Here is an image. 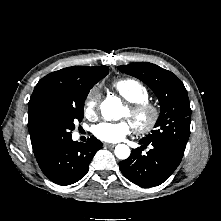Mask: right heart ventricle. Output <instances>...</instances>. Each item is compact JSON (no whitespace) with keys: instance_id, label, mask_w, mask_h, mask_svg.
Returning a JSON list of instances; mask_svg holds the SVG:
<instances>
[{"instance_id":"1","label":"right heart ventricle","mask_w":221,"mask_h":221,"mask_svg":"<svg viewBox=\"0 0 221 221\" xmlns=\"http://www.w3.org/2000/svg\"><path fill=\"white\" fill-rule=\"evenodd\" d=\"M115 91L129 103H137L149 98V90L141 81L122 78L113 82Z\"/></svg>"}]
</instances>
